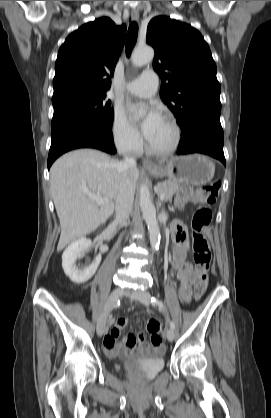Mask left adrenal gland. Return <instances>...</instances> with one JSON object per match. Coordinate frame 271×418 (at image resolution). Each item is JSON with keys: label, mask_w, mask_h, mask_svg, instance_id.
<instances>
[{"label": "left adrenal gland", "mask_w": 271, "mask_h": 418, "mask_svg": "<svg viewBox=\"0 0 271 418\" xmlns=\"http://www.w3.org/2000/svg\"><path fill=\"white\" fill-rule=\"evenodd\" d=\"M159 207H161V202L160 201H158V204H157ZM162 211L164 212V209H162Z\"/></svg>", "instance_id": "a2214340"}]
</instances>
